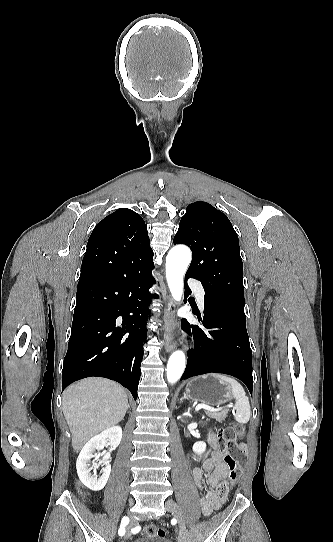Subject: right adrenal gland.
<instances>
[{"label": "right adrenal gland", "mask_w": 333, "mask_h": 542, "mask_svg": "<svg viewBox=\"0 0 333 542\" xmlns=\"http://www.w3.org/2000/svg\"><path fill=\"white\" fill-rule=\"evenodd\" d=\"M128 408H130V404H127Z\"/></svg>", "instance_id": "1"}]
</instances>
